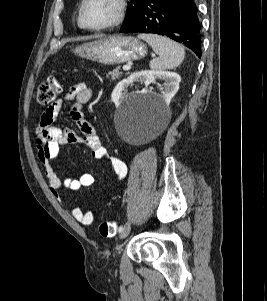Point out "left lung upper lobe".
<instances>
[{
  "mask_svg": "<svg viewBox=\"0 0 267 301\" xmlns=\"http://www.w3.org/2000/svg\"><path fill=\"white\" fill-rule=\"evenodd\" d=\"M146 0H130L128 10L125 15V24L131 23L138 15Z\"/></svg>",
  "mask_w": 267,
  "mask_h": 301,
  "instance_id": "left-lung-upper-lobe-1",
  "label": "left lung upper lobe"
}]
</instances>
